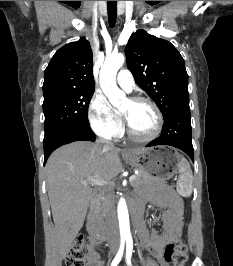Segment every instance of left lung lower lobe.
I'll return each instance as SVG.
<instances>
[{"label":"left lung lower lobe","mask_w":233,"mask_h":266,"mask_svg":"<svg viewBox=\"0 0 233 266\" xmlns=\"http://www.w3.org/2000/svg\"><path fill=\"white\" fill-rule=\"evenodd\" d=\"M156 145H170L179 148L188 154L194 162L189 103L181 104L167 114L164 118L161 136L151 141L147 147Z\"/></svg>","instance_id":"0a47b994"}]
</instances>
